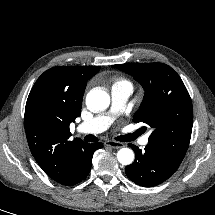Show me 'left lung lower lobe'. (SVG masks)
Masks as SVG:
<instances>
[{
    "mask_svg": "<svg viewBox=\"0 0 215 215\" xmlns=\"http://www.w3.org/2000/svg\"><path fill=\"white\" fill-rule=\"evenodd\" d=\"M129 146L135 152V161L126 167L125 173L140 186L153 187L164 182L181 163L152 144H148L143 151L133 144Z\"/></svg>",
    "mask_w": 215,
    "mask_h": 215,
    "instance_id": "obj_1",
    "label": "left lung lower lobe"
}]
</instances>
